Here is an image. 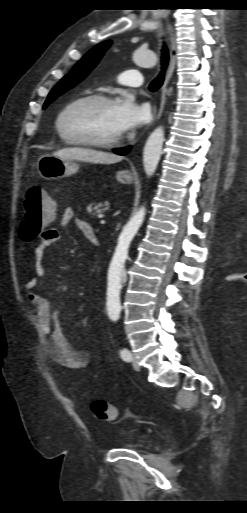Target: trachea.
Segmentation results:
<instances>
[{
	"instance_id": "1",
	"label": "trachea",
	"mask_w": 247,
	"mask_h": 513,
	"mask_svg": "<svg viewBox=\"0 0 247 513\" xmlns=\"http://www.w3.org/2000/svg\"><path fill=\"white\" fill-rule=\"evenodd\" d=\"M168 60H169L168 50H167V47L164 45L162 48V71L159 74V76L156 77L149 85V90L151 92L157 91L162 86L163 81H164V72L167 68Z\"/></svg>"
}]
</instances>
